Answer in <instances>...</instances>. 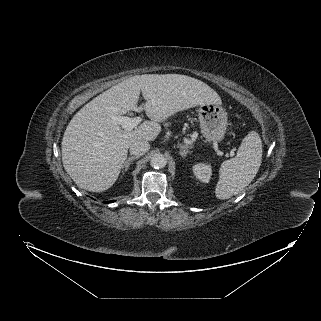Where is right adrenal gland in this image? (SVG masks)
Masks as SVG:
<instances>
[{
  "instance_id": "obj_1",
  "label": "right adrenal gland",
  "mask_w": 321,
  "mask_h": 321,
  "mask_svg": "<svg viewBox=\"0 0 321 321\" xmlns=\"http://www.w3.org/2000/svg\"><path fill=\"white\" fill-rule=\"evenodd\" d=\"M138 158H139L138 156H136V157H129V158L124 162V164H123V166H122V169H123L124 171H127L128 168H129V166H130V164H131V162H132L133 160L138 159Z\"/></svg>"
}]
</instances>
